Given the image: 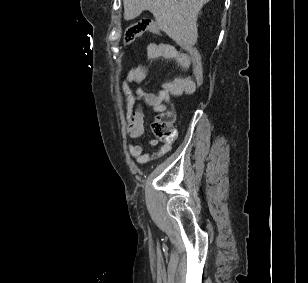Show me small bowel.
<instances>
[{"label": "small bowel", "instance_id": "1", "mask_svg": "<svg viewBox=\"0 0 308 283\" xmlns=\"http://www.w3.org/2000/svg\"><path fill=\"white\" fill-rule=\"evenodd\" d=\"M149 57H162L174 60L185 70L191 68V58L189 54L178 51L169 44H149L147 47ZM147 77V70L143 66L131 69L121 81V90L125 96L126 118L128 122V136L137 139L135 143L128 145V150L134 160L139 164L157 160L171 151V141H164L159 145V140H151L150 146L155 147L150 152L145 151V144L139 140L144 133V113L141 102L151 107L156 112L165 110V104L170 101L171 96H179L188 93L192 76L188 73L184 77L175 78L172 81L164 82L157 93H150L140 87ZM130 84L137 86L135 90L130 88Z\"/></svg>", "mask_w": 308, "mask_h": 283}]
</instances>
